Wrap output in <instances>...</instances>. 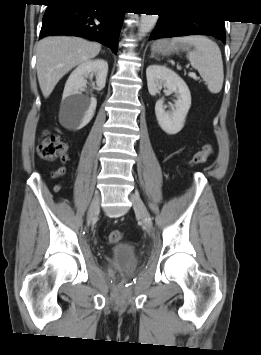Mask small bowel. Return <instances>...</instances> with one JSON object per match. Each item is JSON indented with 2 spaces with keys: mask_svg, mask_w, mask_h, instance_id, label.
Returning <instances> with one entry per match:
<instances>
[{
  "mask_svg": "<svg viewBox=\"0 0 261 355\" xmlns=\"http://www.w3.org/2000/svg\"><path fill=\"white\" fill-rule=\"evenodd\" d=\"M68 159V156L65 155L63 158H62V161L65 162L66 160ZM67 172V168L65 166H61L59 167L58 169H56L55 171H53L51 174H50V177L52 179H55V178H58V177H61V176H64Z\"/></svg>",
  "mask_w": 261,
  "mask_h": 355,
  "instance_id": "obj_1",
  "label": "small bowel"
}]
</instances>
